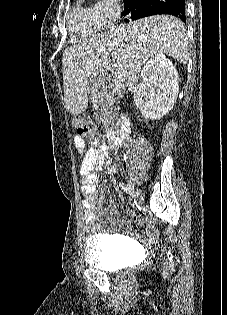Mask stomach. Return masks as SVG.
Wrapping results in <instances>:
<instances>
[{"instance_id":"1","label":"stomach","mask_w":227,"mask_h":315,"mask_svg":"<svg viewBox=\"0 0 227 315\" xmlns=\"http://www.w3.org/2000/svg\"><path fill=\"white\" fill-rule=\"evenodd\" d=\"M97 86H91L89 89V94L91 96V99L94 101L97 96Z\"/></svg>"}]
</instances>
